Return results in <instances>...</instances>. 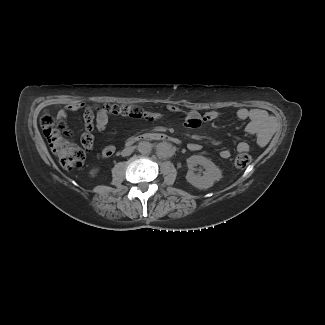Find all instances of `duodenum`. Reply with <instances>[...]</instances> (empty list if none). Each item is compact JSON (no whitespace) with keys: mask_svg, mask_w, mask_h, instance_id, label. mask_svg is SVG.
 Here are the masks:
<instances>
[{"mask_svg":"<svg viewBox=\"0 0 325 325\" xmlns=\"http://www.w3.org/2000/svg\"><path fill=\"white\" fill-rule=\"evenodd\" d=\"M142 141H156V142H163V143H171L175 145L180 144L179 139L163 132H147L140 135H136L134 137H131L128 140L127 144L133 145L135 143L142 142Z\"/></svg>","mask_w":325,"mask_h":325,"instance_id":"410a0bca","label":"duodenum"}]
</instances>
